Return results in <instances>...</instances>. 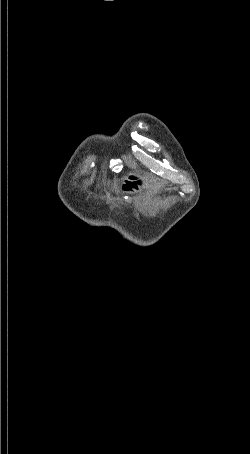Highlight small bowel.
<instances>
[{
    "label": "small bowel",
    "instance_id": "small-bowel-1",
    "mask_svg": "<svg viewBox=\"0 0 250 454\" xmlns=\"http://www.w3.org/2000/svg\"><path fill=\"white\" fill-rule=\"evenodd\" d=\"M139 182L138 181H134V180H128L126 181V183L124 184L123 186V189L125 192H131L133 190H137V188L139 187Z\"/></svg>",
    "mask_w": 250,
    "mask_h": 454
}]
</instances>
